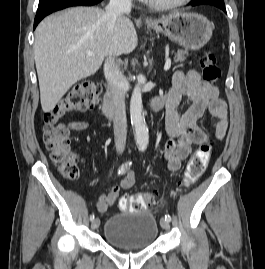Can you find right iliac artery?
<instances>
[{
  "mask_svg": "<svg viewBox=\"0 0 265 269\" xmlns=\"http://www.w3.org/2000/svg\"><path fill=\"white\" fill-rule=\"evenodd\" d=\"M132 164V162H127L125 164H122V166L119 168L118 170V174L122 175L126 172V170H128V168L130 167V165ZM90 220L93 221L94 220V214H92L90 216Z\"/></svg>",
  "mask_w": 265,
  "mask_h": 269,
  "instance_id": "1",
  "label": "right iliac artery"
}]
</instances>
